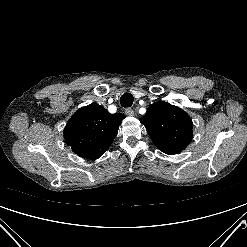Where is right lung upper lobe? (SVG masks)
<instances>
[{"label":"right lung upper lobe","instance_id":"cb5924a9","mask_svg":"<svg viewBox=\"0 0 247 247\" xmlns=\"http://www.w3.org/2000/svg\"><path fill=\"white\" fill-rule=\"evenodd\" d=\"M124 118L122 113L110 114L99 104L91 103L72 115L64 129V139L80 157L96 160L107 151Z\"/></svg>","mask_w":247,"mask_h":247}]
</instances>
